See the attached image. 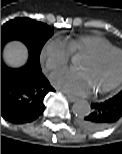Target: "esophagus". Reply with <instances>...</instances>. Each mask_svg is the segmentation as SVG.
<instances>
[{
  "label": "esophagus",
  "mask_w": 122,
  "mask_h": 154,
  "mask_svg": "<svg viewBox=\"0 0 122 154\" xmlns=\"http://www.w3.org/2000/svg\"><path fill=\"white\" fill-rule=\"evenodd\" d=\"M67 96V98H68V100L70 101V102H76L78 99L76 98V97H74V96H71V95H69V94H67L66 95Z\"/></svg>",
  "instance_id": "obj_1"
}]
</instances>
